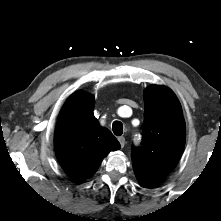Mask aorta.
<instances>
[{
    "label": "aorta",
    "instance_id": "762f6f07",
    "mask_svg": "<svg viewBox=\"0 0 221 221\" xmlns=\"http://www.w3.org/2000/svg\"><path fill=\"white\" fill-rule=\"evenodd\" d=\"M137 140H138V139H137V138H135V142H137Z\"/></svg>",
    "mask_w": 221,
    "mask_h": 221
}]
</instances>
